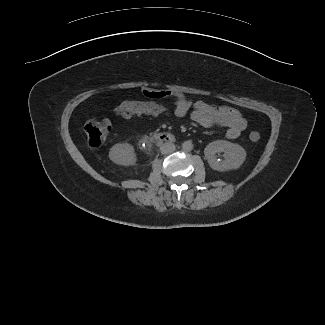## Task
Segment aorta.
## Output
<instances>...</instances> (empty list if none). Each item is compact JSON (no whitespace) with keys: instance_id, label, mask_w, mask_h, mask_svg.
Instances as JSON below:
<instances>
[{"instance_id":"762f6f07","label":"aorta","mask_w":325,"mask_h":325,"mask_svg":"<svg viewBox=\"0 0 325 325\" xmlns=\"http://www.w3.org/2000/svg\"><path fill=\"white\" fill-rule=\"evenodd\" d=\"M182 149L186 152H189L193 149V144L191 141H185L182 144Z\"/></svg>"}]
</instances>
